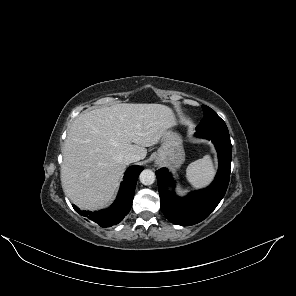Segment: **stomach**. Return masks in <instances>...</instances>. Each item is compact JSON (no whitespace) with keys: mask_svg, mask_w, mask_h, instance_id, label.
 <instances>
[{"mask_svg":"<svg viewBox=\"0 0 296 296\" xmlns=\"http://www.w3.org/2000/svg\"><path fill=\"white\" fill-rule=\"evenodd\" d=\"M155 161L172 169H177L183 164L185 152L178 133L168 131L163 135Z\"/></svg>","mask_w":296,"mask_h":296,"instance_id":"0dacf381","label":"stomach"}]
</instances>
